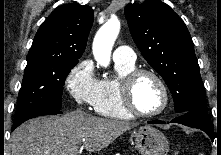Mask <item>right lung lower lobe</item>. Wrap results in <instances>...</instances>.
I'll return each mask as SVG.
<instances>
[{
  "label": "right lung lower lobe",
  "mask_w": 221,
  "mask_h": 155,
  "mask_svg": "<svg viewBox=\"0 0 221 155\" xmlns=\"http://www.w3.org/2000/svg\"><path fill=\"white\" fill-rule=\"evenodd\" d=\"M58 113H61L60 109H58V110H45V111H41V112L37 113L36 115L32 116L31 118L38 117V116H43V115H54V114H58ZM31 118H29V119H31ZM26 120H28V119H26ZM26 120H24L22 122H19V123H14L13 127H12V130H14L16 127L21 125Z\"/></svg>",
  "instance_id": "98d812e1"
}]
</instances>
